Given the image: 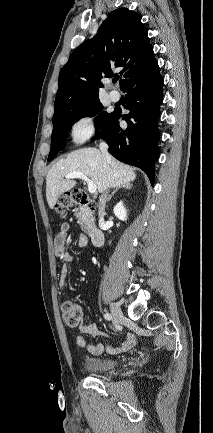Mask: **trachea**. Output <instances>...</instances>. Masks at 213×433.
Masks as SVG:
<instances>
[{"label":"trachea","instance_id":"obj_1","mask_svg":"<svg viewBox=\"0 0 213 433\" xmlns=\"http://www.w3.org/2000/svg\"><path fill=\"white\" fill-rule=\"evenodd\" d=\"M118 79H119V78H115V79H114V82H116Z\"/></svg>","mask_w":213,"mask_h":433}]
</instances>
